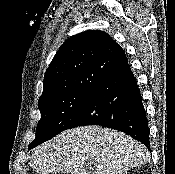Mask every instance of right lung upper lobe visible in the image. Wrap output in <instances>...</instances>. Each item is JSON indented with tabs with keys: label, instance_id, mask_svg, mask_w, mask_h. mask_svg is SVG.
<instances>
[{
	"label": "right lung upper lobe",
	"instance_id": "obj_1",
	"mask_svg": "<svg viewBox=\"0 0 175 174\" xmlns=\"http://www.w3.org/2000/svg\"><path fill=\"white\" fill-rule=\"evenodd\" d=\"M128 64L124 50L103 31H85L57 51L44 76L39 101L67 91L95 86Z\"/></svg>",
	"mask_w": 175,
	"mask_h": 174
}]
</instances>
